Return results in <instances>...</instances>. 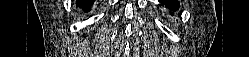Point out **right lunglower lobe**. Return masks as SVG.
Listing matches in <instances>:
<instances>
[{
	"label": "right lung lower lobe",
	"mask_w": 249,
	"mask_h": 57,
	"mask_svg": "<svg viewBox=\"0 0 249 57\" xmlns=\"http://www.w3.org/2000/svg\"><path fill=\"white\" fill-rule=\"evenodd\" d=\"M92 3L93 1L91 0L80 1V6L82 7L83 10L86 9L87 11H89Z\"/></svg>",
	"instance_id": "obj_1"
}]
</instances>
